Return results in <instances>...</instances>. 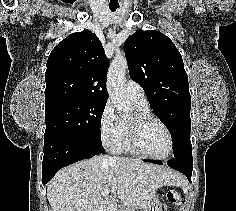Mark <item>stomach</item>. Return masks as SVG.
<instances>
[{
	"instance_id": "stomach-1",
	"label": "stomach",
	"mask_w": 236,
	"mask_h": 211,
	"mask_svg": "<svg viewBox=\"0 0 236 211\" xmlns=\"http://www.w3.org/2000/svg\"><path fill=\"white\" fill-rule=\"evenodd\" d=\"M142 211H161V204L159 202L157 192L155 193V196L150 204Z\"/></svg>"
}]
</instances>
